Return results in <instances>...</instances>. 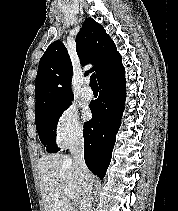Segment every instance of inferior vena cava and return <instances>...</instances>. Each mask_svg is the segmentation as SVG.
I'll return each instance as SVG.
<instances>
[{
    "instance_id": "inferior-vena-cava-1",
    "label": "inferior vena cava",
    "mask_w": 178,
    "mask_h": 211,
    "mask_svg": "<svg viewBox=\"0 0 178 211\" xmlns=\"http://www.w3.org/2000/svg\"><path fill=\"white\" fill-rule=\"evenodd\" d=\"M70 152L83 180V200L80 204V211H92L93 180L84 160V139L82 132L74 135L70 143Z\"/></svg>"
}]
</instances>
